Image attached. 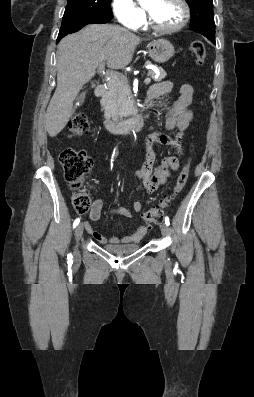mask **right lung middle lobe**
Masks as SVG:
<instances>
[{
    "mask_svg": "<svg viewBox=\"0 0 254 397\" xmlns=\"http://www.w3.org/2000/svg\"><path fill=\"white\" fill-rule=\"evenodd\" d=\"M111 0H68L64 14H80L94 18L112 16Z\"/></svg>",
    "mask_w": 254,
    "mask_h": 397,
    "instance_id": "right-lung-middle-lobe-1",
    "label": "right lung middle lobe"
}]
</instances>
